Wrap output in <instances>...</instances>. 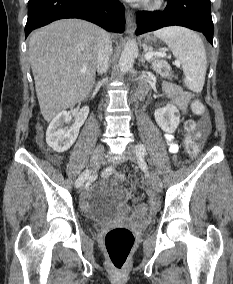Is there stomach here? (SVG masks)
Segmentation results:
<instances>
[{"label":"stomach","mask_w":233,"mask_h":284,"mask_svg":"<svg viewBox=\"0 0 233 284\" xmlns=\"http://www.w3.org/2000/svg\"><path fill=\"white\" fill-rule=\"evenodd\" d=\"M145 41L148 42V43H153L155 41V38L151 35H147L145 37Z\"/></svg>","instance_id":"stomach-1"}]
</instances>
